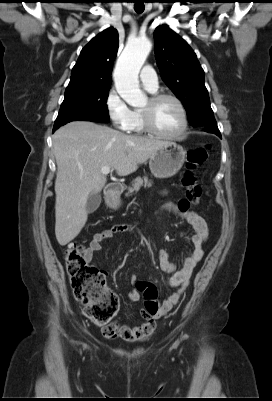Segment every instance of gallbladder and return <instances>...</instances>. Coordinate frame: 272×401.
Listing matches in <instances>:
<instances>
[{"mask_svg": "<svg viewBox=\"0 0 272 401\" xmlns=\"http://www.w3.org/2000/svg\"><path fill=\"white\" fill-rule=\"evenodd\" d=\"M101 195L100 193H93L90 194L87 203H86V210L88 213H93L98 209L101 204Z\"/></svg>", "mask_w": 272, "mask_h": 401, "instance_id": "1", "label": "gallbladder"}]
</instances>
